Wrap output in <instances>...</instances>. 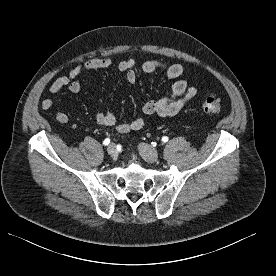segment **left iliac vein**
Here are the masks:
<instances>
[{
  "label": "left iliac vein",
  "mask_w": 276,
  "mask_h": 276,
  "mask_svg": "<svg viewBox=\"0 0 276 276\" xmlns=\"http://www.w3.org/2000/svg\"><path fill=\"white\" fill-rule=\"evenodd\" d=\"M139 152L142 155V157L147 161H156L158 158L157 151L152 148L150 145L141 143L139 144Z\"/></svg>",
  "instance_id": "1"
}]
</instances>
